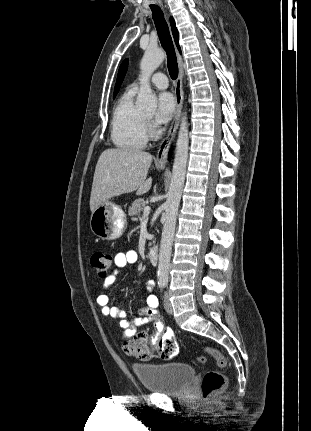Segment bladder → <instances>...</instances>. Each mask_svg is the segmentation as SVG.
Here are the masks:
<instances>
[{"label": "bladder", "instance_id": "31cf9c89", "mask_svg": "<svg viewBox=\"0 0 311 431\" xmlns=\"http://www.w3.org/2000/svg\"><path fill=\"white\" fill-rule=\"evenodd\" d=\"M132 368L145 389L165 395L183 393L195 377L194 368L187 363H138Z\"/></svg>", "mask_w": 311, "mask_h": 431}]
</instances>
